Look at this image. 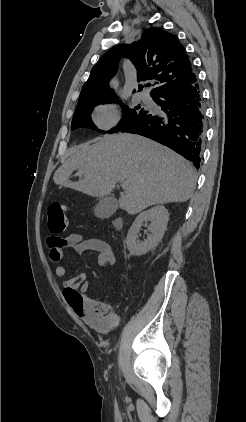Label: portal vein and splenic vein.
<instances>
[{"label":"portal vein and splenic vein","mask_w":246,"mask_h":422,"mask_svg":"<svg viewBox=\"0 0 246 422\" xmlns=\"http://www.w3.org/2000/svg\"><path fill=\"white\" fill-rule=\"evenodd\" d=\"M122 188H126V185L124 183H121Z\"/></svg>","instance_id":"portal-vein-and-splenic-vein-1"}]
</instances>
